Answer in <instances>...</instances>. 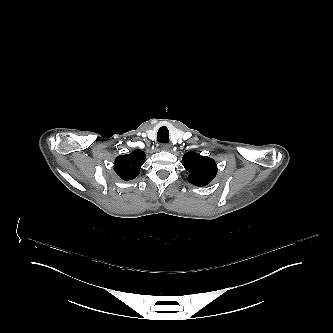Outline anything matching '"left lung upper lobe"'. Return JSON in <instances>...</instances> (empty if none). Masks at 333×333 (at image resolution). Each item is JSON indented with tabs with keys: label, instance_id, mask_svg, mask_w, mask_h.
<instances>
[{
	"label": "left lung upper lobe",
	"instance_id": "obj_1",
	"mask_svg": "<svg viewBox=\"0 0 333 333\" xmlns=\"http://www.w3.org/2000/svg\"><path fill=\"white\" fill-rule=\"evenodd\" d=\"M183 165L188 171L187 180L195 186L202 187L209 184L216 176L217 165L215 161L206 156H200L194 151L183 155Z\"/></svg>",
	"mask_w": 333,
	"mask_h": 333
}]
</instances>
